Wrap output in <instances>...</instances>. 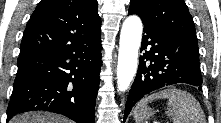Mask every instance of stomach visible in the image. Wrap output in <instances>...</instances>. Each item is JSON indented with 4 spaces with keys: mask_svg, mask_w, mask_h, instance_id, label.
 Returning <instances> with one entry per match:
<instances>
[{
    "mask_svg": "<svg viewBox=\"0 0 221 123\" xmlns=\"http://www.w3.org/2000/svg\"><path fill=\"white\" fill-rule=\"evenodd\" d=\"M154 110H152L151 108H147V110L145 111V113L144 114H142V116H143V120H147V119H149L152 115H154Z\"/></svg>",
    "mask_w": 221,
    "mask_h": 123,
    "instance_id": "0dacf381",
    "label": "stomach"
}]
</instances>
